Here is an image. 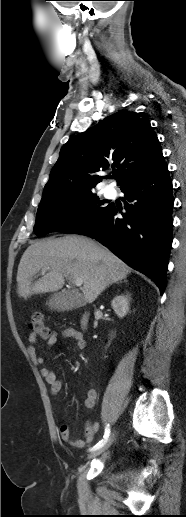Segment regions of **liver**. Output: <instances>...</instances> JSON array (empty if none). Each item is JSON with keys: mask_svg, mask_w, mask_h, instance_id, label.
Segmentation results:
<instances>
[{"mask_svg": "<svg viewBox=\"0 0 186 517\" xmlns=\"http://www.w3.org/2000/svg\"><path fill=\"white\" fill-rule=\"evenodd\" d=\"M48 271L37 282L32 278ZM131 268L107 248L85 237L69 235L31 244L20 260L17 293L27 298L33 294L54 292L65 284V277L82 278V292L92 303L107 286L126 278Z\"/></svg>", "mask_w": 186, "mask_h": 517, "instance_id": "6515ba94", "label": "liver"}]
</instances>
